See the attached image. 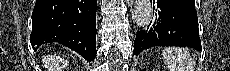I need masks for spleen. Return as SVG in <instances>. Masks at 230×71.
Returning a JSON list of instances; mask_svg holds the SVG:
<instances>
[{"mask_svg": "<svg viewBox=\"0 0 230 71\" xmlns=\"http://www.w3.org/2000/svg\"><path fill=\"white\" fill-rule=\"evenodd\" d=\"M162 59L169 71H194L195 62L187 50L167 47L162 52Z\"/></svg>", "mask_w": 230, "mask_h": 71, "instance_id": "obj_1", "label": "spleen"}]
</instances>
